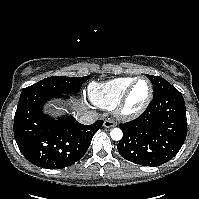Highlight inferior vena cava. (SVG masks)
Instances as JSON below:
<instances>
[{"label": "inferior vena cava", "mask_w": 199, "mask_h": 199, "mask_svg": "<svg viewBox=\"0 0 199 199\" xmlns=\"http://www.w3.org/2000/svg\"><path fill=\"white\" fill-rule=\"evenodd\" d=\"M99 119V114L96 111H86L78 116V121L84 125H90Z\"/></svg>", "instance_id": "obj_1"}]
</instances>
